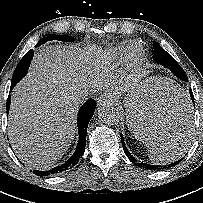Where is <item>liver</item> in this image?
I'll return each mask as SVG.
<instances>
[{
	"mask_svg": "<svg viewBox=\"0 0 203 203\" xmlns=\"http://www.w3.org/2000/svg\"><path fill=\"white\" fill-rule=\"evenodd\" d=\"M92 55V50L60 45L46 46L35 54L28 75L12 92L8 119L11 146L25 165L47 170L68 150L76 133L75 116L81 103L75 99L78 91L105 83L116 94L108 83L110 70ZM139 99L137 93L134 100ZM177 114L158 115L155 130L136 122L133 112L127 113V121L160 145L178 134Z\"/></svg>",
	"mask_w": 203,
	"mask_h": 203,
	"instance_id": "liver-1",
	"label": "liver"
}]
</instances>
